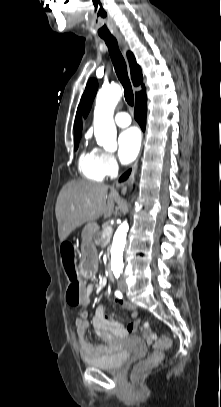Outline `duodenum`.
<instances>
[{
    "instance_id": "duodenum-1",
    "label": "duodenum",
    "mask_w": 221,
    "mask_h": 407,
    "mask_svg": "<svg viewBox=\"0 0 221 407\" xmlns=\"http://www.w3.org/2000/svg\"><path fill=\"white\" fill-rule=\"evenodd\" d=\"M106 275L109 280L113 279V274H112V270H111L110 266H108L106 269Z\"/></svg>"
}]
</instances>
